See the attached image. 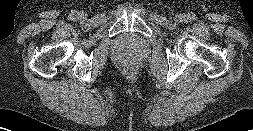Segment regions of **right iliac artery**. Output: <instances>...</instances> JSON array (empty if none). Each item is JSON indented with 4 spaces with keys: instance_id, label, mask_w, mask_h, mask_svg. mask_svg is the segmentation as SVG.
<instances>
[{
    "instance_id": "1",
    "label": "right iliac artery",
    "mask_w": 253,
    "mask_h": 131,
    "mask_svg": "<svg viewBox=\"0 0 253 131\" xmlns=\"http://www.w3.org/2000/svg\"><path fill=\"white\" fill-rule=\"evenodd\" d=\"M76 16H77L76 12H72L71 15H70V17H71L72 19H74Z\"/></svg>"
}]
</instances>
